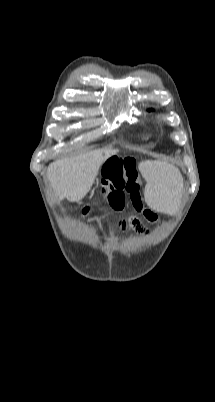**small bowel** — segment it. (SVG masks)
Instances as JSON below:
<instances>
[{
  "instance_id": "1",
  "label": "small bowel",
  "mask_w": 215,
  "mask_h": 402,
  "mask_svg": "<svg viewBox=\"0 0 215 402\" xmlns=\"http://www.w3.org/2000/svg\"><path fill=\"white\" fill-rule=\"evenodd\" d=\"M126 229V228H123ZM134 229H136L137 231L143 233V234H148V231L142 226V224L140 223V221H138L136 223V226L134 227Z\"/></svg>"
}]
</instances>
